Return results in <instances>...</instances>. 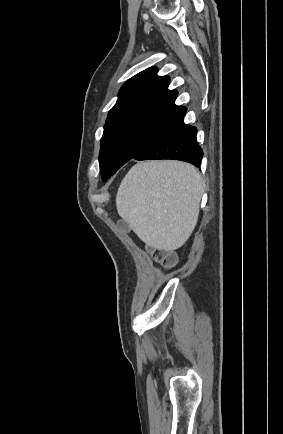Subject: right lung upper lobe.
Here are the masks:
<instances>
[{"instance_id":"cb5924a9","label":"right lung upper lobe","mask_w":283,"mask_h":434,"mask_svg":"<svg viewBox=\"0 0 283 434\" xmlns=\"http://www.w3.org/2000/svg\"><path fill=\"white\" fill-rule=\"evenodd\" d=\"M156 73L157 69L151 67L130 78L120 89L107 120L136 114L173 121L183 118L186 108L175 105L178 92L168 89L170 78Z\"/></svg>"}]
</instances>
